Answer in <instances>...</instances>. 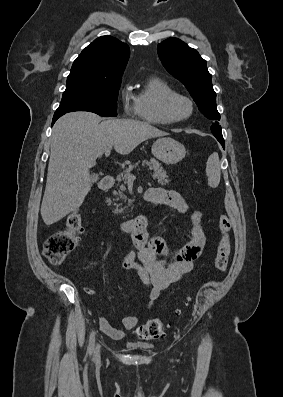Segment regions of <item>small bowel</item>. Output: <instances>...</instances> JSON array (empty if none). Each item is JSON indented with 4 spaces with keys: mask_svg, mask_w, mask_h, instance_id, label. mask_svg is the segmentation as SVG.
Returning <instances> with one entry per match:
<instances>
[{
    "mask_svg": "<svg viewBox=\"0 0 283 397\" xmlns=\"http://www.w3.org/2000/svg\"><path fill=\"white\" fill-rule=\"evenodd\" d=\"M147 201L177 210L188 211L181 195L173 190L153 187L146 191ZM191 240L182 247L170 246L161 237H149L145 229L131 234L136 250L124 258L122 268L135 271L142 283L148 288L147 309H151L162 290L179 281L190 273L196 261L202 256L206 246V236L201 224V215H192ZM139 315L124 317L121 321L124 330L133 329L139 322ZM100 330L113 339L121 340L125 336L123 329L116 328L103 316L99 317Z\"/></svg>",
    "mask_w": 283,
    "mask_h": 397,
    "instance_id": "c3829d8e",
    "label": "small bowel"
}]
</instances>
